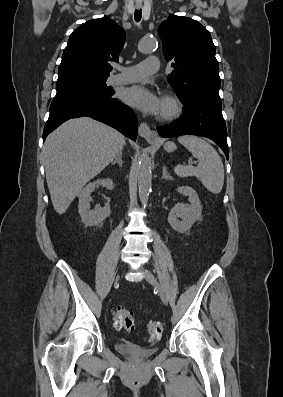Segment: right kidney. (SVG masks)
Returning <instances> with one entry per match:
<instances>
[{
  "mask_svg": "<svg viewBox=\"0 0 283 397\" xmlns=\"http://www.w3.org/2000/svg\"><path fill=\"white\" fill-rule=\"evenodd\" d=\"M96 184H101L108 190L114 188L112 179H98L96 182L89 183L79 193L78 211L85 226H99L111 212L109 203H106L104 207L96 206L95 210H90L91 193L94 191Z\"/></svg>",
  "mask_w": 283,
  "mask_h": 397,
  "instance_id": "right-kidney-1",
  "label": "right kidney"
}]
</instances>
